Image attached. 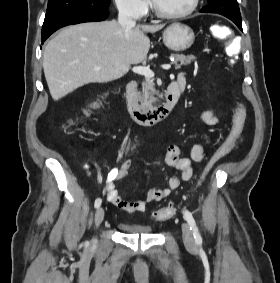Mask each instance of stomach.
Returning <instances> with one entry per match:
<instances>
[{"mask_svg":"<svg viewBox=\"0 0 280 283\" xmlns=\"http://www.w3.org/2000/svg\"><path fill=\"white\" fill-rule=\"evenodd\" d=\"M195 40L193 30L182 23H173L163 32L165 46L175 52H182L192 46Z\"/></svg>","mask_w":280,"mask_h":283,"instance_id":"1","label":"stomach"}]
</instances>
